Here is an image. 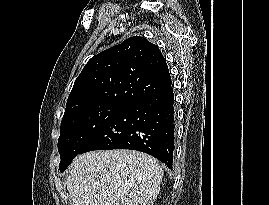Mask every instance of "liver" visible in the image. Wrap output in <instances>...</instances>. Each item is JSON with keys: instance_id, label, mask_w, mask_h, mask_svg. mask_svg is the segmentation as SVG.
I'll return each mask as SVG.
<instances>
[{"instance_id": "6515ba94", "label": "liver", "mask_w": 269, "mask_h": 205, "mask_svg": "<svg viewBox=\"0 0 269 205\" xmlns=\"http://www.w3.org/2000/svg\"><path fill=\"white\" fill-rule=\"evenodd\" d=\"M159 161L135 150L79 155L66 176L72 205H151L160 192Z\"/></svg>"}]
</instances>
